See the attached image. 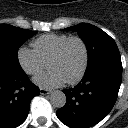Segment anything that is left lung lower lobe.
Masks as SVG:
<instances>
[{
    "label": "left lung lower lobe",
    "mask_w": 128,
    "mask_h": 128,
    "mask_svg": "<svg viewBox=\"0 0 128 128\" xmlns=\"http://www.w3.org/2000/svg\"><path fill=\"white\" fill-rule=\"evenodd\" d=\"M122 80L120 57H106L87 67L82 81L63 90L67 102L56 114L71 128H88L100 122L113 108Z\"/></svg>",
    "instance_id": "1"
}]
</instances>
